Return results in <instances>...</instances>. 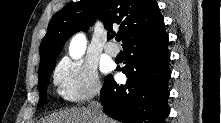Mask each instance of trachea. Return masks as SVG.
I'll use <instances>...</instances> for the list:
<instances>
[{
  "label": "trachea",
  "mask_w": 221,
  "mask_h": 123,
  "mask_svg": "<svg viewBox=\"0 0 221 123\" xmlns=\"http://www.w3.org/2000/svg\"><path fill=\"white\" fill-rule=\"evenodd\" d=\"M121 39H122L121 36H117V37H116V41H117V42H120Z\"/></svg>",
  "instance_id": "1"
}]
</instances>
